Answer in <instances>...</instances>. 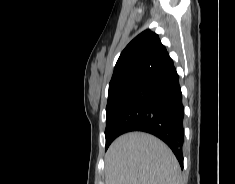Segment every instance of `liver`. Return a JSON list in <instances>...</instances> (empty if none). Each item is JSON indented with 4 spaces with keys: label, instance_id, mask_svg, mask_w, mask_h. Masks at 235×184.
I'll list each match as a JSON object with an SVG mask.
<instances>
[{
    "label": "liver",
    "instance_id": "liver-1",
    "mask_svg": "<svg viewBox=\"0 0 235 184\" xmlns=\"http://www.w3.org/2000/svg\"><path fill=\"white\" fill-rule=\"evenodd\" d=\"M105 184H182V176L164 142L151 134L129 132L108 148Z\"/></svg>",
    "mask_w": 235,
    "mask_h": 184
}]
</instances>
